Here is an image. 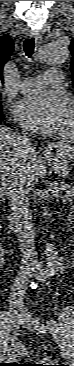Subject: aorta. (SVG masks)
<instances>
[{"label": "aorta", "instance_id": "obj_1", "mask_svg": "<svg viewBox=\"0 0 74 366\" xmlns=\"http://www.w3.org/2000/svg\"><path fill=\"white\" fill-rule=\"evenodd\" d=\"M69 58L68 45L60 42H51L41 46L33 58L36 64L60 66L67 62ZM46 273L53 275L58 263V254L54 244H46Z\"/></svg>", "mask_w": 74, "mask_h": 366}]
</instances>
